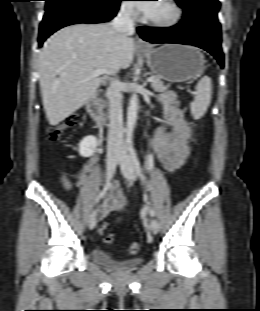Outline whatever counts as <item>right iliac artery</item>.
I'll use <instances>...</instances> for the list:
<instances>
[{
	"mask_svg": "<svg viewBox=\"0 0 260 311\" xmlns=\"http://www.w3.org/2000/svg\"><path fill=\"white\" fill-rule=\"evenodd\" d=\"M111 176H112V175H110V176L107 177V182H106V184L104 185L103 189L99 192V194H98V196H97V198H96V203H99V201H100L102 198H104V196L106 195L108 189L110 188V185H111V184H110Z\"/></svg>",
	"mask_w": 260,
	"mask_h": 311,
	"instance_id": "82829eb1",
	"label": "right iliac artery"
}]
</instances>
